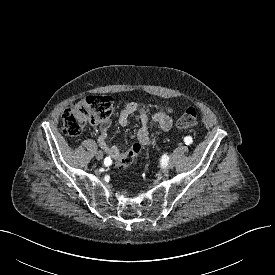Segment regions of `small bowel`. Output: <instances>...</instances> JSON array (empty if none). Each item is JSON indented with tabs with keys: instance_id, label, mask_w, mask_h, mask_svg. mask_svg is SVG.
Instances as JSON below:
<instances>
[{
	"instance_id": "c3829d8e",
	"label": "small bowel",
	"mask_w": 275,
	"mask_h": 275,
	"mask_svg": "<svg viewBox=\"0 0 275 275\" xmlns=\"http://www.w3.org/2000/svg\"><path fill=\"white\" fill-rule=\"evenodd\" d=\"M174 109L168 107L166 111L156 112L149 115L144 108L137 102H130L125 105L121 110L118 123L120 126L125 127L129 118L137 114L140 119V128L137 133V142L134 143L127 151H121L117 146H109L107 144V136L109 126L107 123L100 125V135L98 137V143L100 148L108 155V157L119 162L127 158L135 145L140 146H153L156 144V139L150 134V124H156L162 131H168L172 127V114Z\"/></svg>"
}]
</instances>
